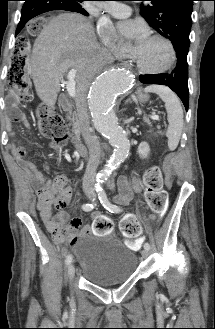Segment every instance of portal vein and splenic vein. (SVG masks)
Here are the masks:
<instances>
[{
  "instance_id": "1",
  "label": "portal vein and splenic vein",
  "mask_w": 215,
  "mask_h": 329,
  "mask_svg": "<svg viewBox=\"0 0 215 329\" xmlns=\"http://www.w3.org/2000/svg\"><path fill=\"white\" fill-rule=\"evenodd\" d=\"M77 71L75 69H71L67 75V83H66V88L68 91V94L70 97L74 98L76 97V82H75V77H76ZM153 120H159V116L153 113L152 115L149 116Z\"/></svg>"
}]
</instances>
